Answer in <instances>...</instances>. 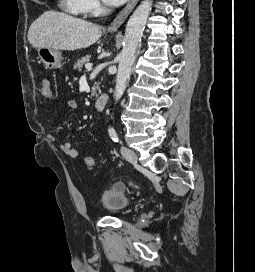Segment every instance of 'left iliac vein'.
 <instances>
[{
    "label": "left iliac vein",
    "instance_id": "1",
    "mask_svg": "<svg viewBox=\"0 0 255 272\" xmlns=\"http://www.w3.org/2000/svg\"><path fill=\"white\" fill-rule=\"evenodd\" d=\"M121 154L130 163H136L137 162V155L132 149H129L127 147L122 146L121 147Z\"/></svg>",
    "mask_w": 255,
    "mask_h": 272
}]
</instances>
